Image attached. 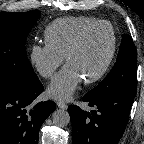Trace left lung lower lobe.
<instances>
[{
  "label": "left lung lower lobe",
  "mask_w": 144,
  "mask_h": 144,
  "mask_svg": "<svg viewBox=\"0 0 144 144\" xmlns=\"http://www.w3.org/2000/svg\"><path fill=\"white\" fill-rule=\"evenodd\" d=\"M136 93L88 92L83 101L95 110L69 106L73 144H117L122 137Z\"/></svg>",
  "instance_id": "0a47b994"
}]
</instances>
